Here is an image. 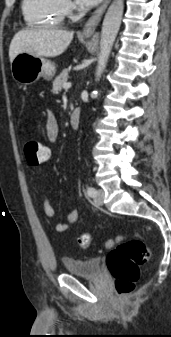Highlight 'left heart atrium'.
Returning <instances> with one entry per match:
<instances>
[{
	"instance_id": "left-heart-atrium-1",
	"label": "left heart atrium",
	"mask_w": 171,
	"mask_h": 337,
	"mask_svg": "<svg viewBox=\"0 0 171 337\" xmlns=\"http://www.w3.org/2000/svg\"><path fill=\"white\" fill-rule=\"evenodd\" d=\"M76 1L83 6H93L96 5L100 0H76Z\"/></svg>"
}]
</instances>
